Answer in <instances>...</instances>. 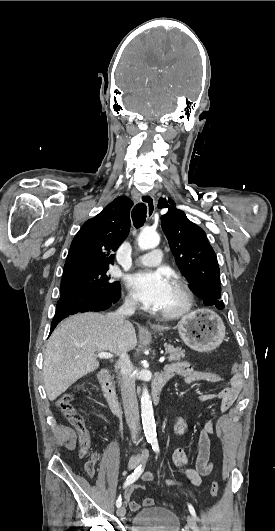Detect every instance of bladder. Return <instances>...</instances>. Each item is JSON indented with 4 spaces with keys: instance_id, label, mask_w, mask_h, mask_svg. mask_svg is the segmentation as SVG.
<instances>
[{
    "instance_id": "31cf9c89",
    "label": "bladder",
    "mask_w": 275,
    "mask_h": 531,
    "mask_svg": "<svg viewBox=\"0 0 275 531\" xmlns=\"http://www.w3.org/2000/svg\"><path fill=\"white\" fill-rule=\"evenodd\" d=\"M177 515L163 507L144 509L133 516L132 531H179Z\"/></svg>"
}]
</instances>
